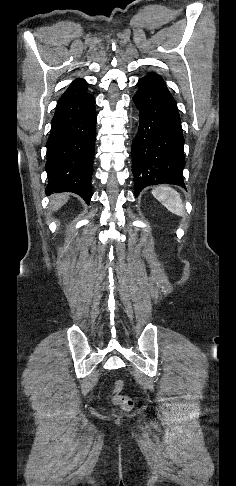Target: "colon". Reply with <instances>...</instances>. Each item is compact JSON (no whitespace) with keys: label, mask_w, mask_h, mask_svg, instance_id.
Wrapping results in <instances>:
<instances>
[{"label":"colon","mask_w":236,"mask_h":486,"mask_svg":"<svg viewBox=\"0 0 236 486\" xmlns=\"http://www.w3.org/2000/svg\"><path fill=\"white\" fill-rule=\"evenodd\" d=\"M124 388V383L121 380H117L112 388L111 398L112 402L119 406L123 411H129L133 407V400L121 392Z\"/></svg>","instance_id":"obj_1"}]
</instances>
